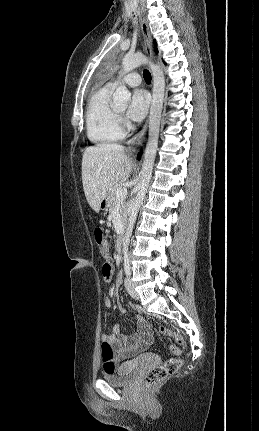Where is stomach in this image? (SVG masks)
<instances>
[{
    "instance_id": "obj_1",
    "label": "stomach",
    "mask_w": 259,
    "mask_h": 431,
    "mask_svg": "<svg viewBox=\"0 0 259 431\" xmlns=\"http://www.w3.org/2000/svg\"><path fill=\"white\" fill-rule=\"evenodd\" d=\"M109 207V200H108V196L103 199L100 204H99V209L101 210H107V208Z\"/></svg>"
}]
</instances>
